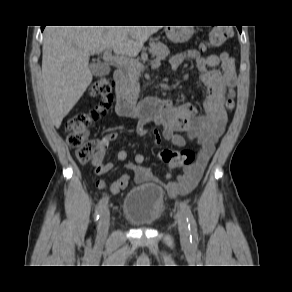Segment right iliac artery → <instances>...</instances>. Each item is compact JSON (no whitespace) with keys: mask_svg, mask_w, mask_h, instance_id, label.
I'll use <instances>...</instances> for the list:
<instances>
[{"mask_svg":"<svg viewBox=\"0 0 292 292\" xmlns=\"http://www.w3.org/2000/svg\"><path fill=\"white\" fill-rule=\"evenodd\" d=\"M108 201H109L108 195H104L101 198V200L99 201L98 206H97L96 211H95V215H94L96 220L99 219V217H100L101 213L103 212V210L105 209Z\"/></svg>","mask_w":292,"mask_h":292,"instance_id":"1","label":"right iliac artery"}]
</instances>
